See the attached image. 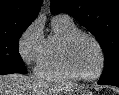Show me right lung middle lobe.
<instances>
[{"mask_svg": "<svg viewBox=\"0 0 119 95\" xmlns=\"http://www.w3.org/2000/svg\"><path fill=\"white\" fill-rule=\"evenodd\" d=\"M30 24L0 28V70L26 74L27 70L18 52L19 39Z\"/></svg>", "mask_w": 119, "mask_h": 95, "instance_id": "1", "label": "right lung middle lobe"}]
</instances>
